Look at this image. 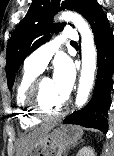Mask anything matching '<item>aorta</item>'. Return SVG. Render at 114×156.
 Returning <instances> with one entry per match:
<instances>
[{"label": "aorta", "mask_w": 114, "mask_h": 156, "mask_svg": "<svg viewBox=\"0 0 114 156\" xmlns=\"http://www.w3.org/2000/svg\"><path fill=\"white\" fill-rule=\"evenodd\" d=\"M59 20L71 22L81 35L82 69L75 101L76 106L81 108L87 102L94 82L97 57L94 37L88 23L78 13L65 11Z\"/></svg>", "instance_id": "aorta-1"}]
</instances>
